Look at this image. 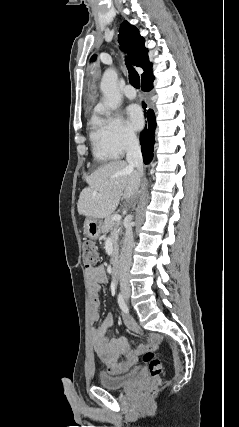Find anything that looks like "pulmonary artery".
<instances>
[{"label": "pulmonary artery", "instance_id": "e3ab8cb5", "mask_svg": "<svg viewBox=\"0 0 239 427\" xmlns=\"http://www.w3.org/2000/svg\"><path fill=\"white\" fill-rule=\"evenodd\" d=\"M123 92L124 95L129 99H134L136 97V91L130 84L124 87Z\"/></svg>", "mask_w": 239, "mask_h": 427}]
</instances>
